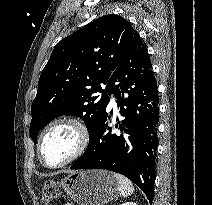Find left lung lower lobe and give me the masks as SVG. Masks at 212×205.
Here are the masks:
<instances>
[{
	"mask_svg": "<svg viewBox=\"0 0 212 205\" xmlns=\"http://www.w3.org/2000/svg\"><path fill=\"white\" fill-rule=\"evenodd\" d=\"M108 93L118 98L121 121L114 132L109 127L112 111L95 124L84 154L71 169H106L134 182L154 197L157 126L159 121L157 82L147 49L138 33L108 80Z\"/></svg>",
	"mask_w": 212,
	"mask_h": 205,
	"instance_id": "obj_1",
	"label": "left lung lower lobe"
}]
</instances>
